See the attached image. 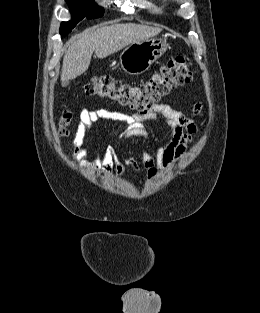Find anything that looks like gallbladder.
<instances>
[{"instance_id":"bac80fb5","label":"gallbladder","mask_w":260,"mask_h":313,"mask_svg":"<svg viewBox=\"0 0 260 313\" xmlns=\"http://www.w3.org/2000/svg\"><path fill=\"white\" fill-rule=\"evenodd\" d=\"M67 85H69V81H64V82L62 83V86H63V87H66Z\"/></svg>"}]
</instances>
